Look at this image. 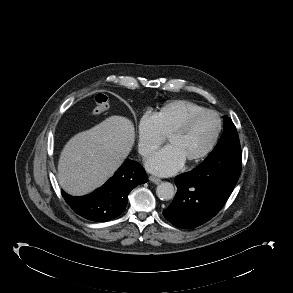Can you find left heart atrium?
<instances>
[{
  "instance_id": "39dd6f15",
  "label": "left heart atrium",
  "mask_w": 293,
  "mask_h": 293,
  "mask_svg": "<svg viewBox=\"0 0 293 293\" xmlns=\"http://www.w3.org/2000/svg\"><path fill=\"white\" fill-rule=\"evenodd\" d=\"M184 163L179 152L168 145L152 154L146 161V167L154 174L168 176L180 170Z\"/></svg>"
}]
</instances>
